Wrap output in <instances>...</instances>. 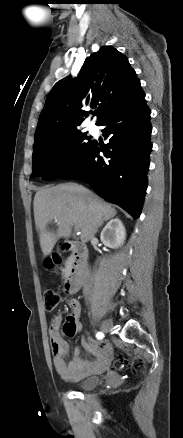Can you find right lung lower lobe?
<instances>
[{
    "label": "right lung lower lobe",
    "mask_w": 183,
    "mask_h": 438,
    "mask_svg": "<svg viewBox=\"0 0 183 438\" xmlns=\"http://www.w3.org/2000/svg\"><path fill=\"white\" fill-rule=\"evenodd\" d=\"M144 98L143 93L98 124L105 126L104 136L109 139L104 148L93 142L55 176L86 181L99 196L119 205L134 219L141 213L152 149L151 111Z\"/></svg>",
    "instance_id": "98d812e1"
}]
</instances>
